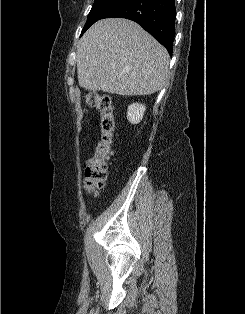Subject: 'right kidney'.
<instances>
[{"label":"right kidney","mask_w":245,"mask_h":314,"mask_svg":"<svg viewBox=\"0 0 245 314\" xmlns=\"http://www.w3.org/2000/svg\"><path fill=\"white\" fill-rule=\"evenodd\" d=\"M146 107L139 103H133L128 107L127 119L131 124H138L144 115Z\"/></svg>","instance_id":"ca27d5eb"}]
</instances>
